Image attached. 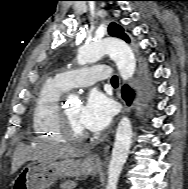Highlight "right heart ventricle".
Listing matches in <instances>:
<instances>
[{"instance_id": "e07e8e85", "label": "right heart ventricle", "mask_w": 188, "mask_h": 189, "mask_svg": "<svg viewBox=\"0 0 188 189\" xmlns=\"http://www.w3.org/2000/svg\"><path fill=\"white\" fill-rule=\"evenodd\" d=\"M66 91L56 80L43 82L32 111V128L34 134L51 142H62L64 136L59 125L60 100Z\"/></svg>"}]
</instances>
